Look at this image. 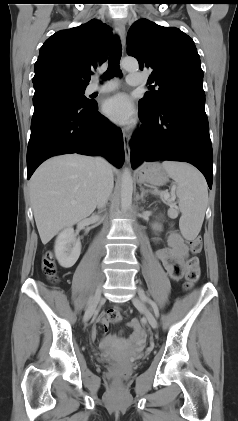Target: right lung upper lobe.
<instances>
[{
    "label": "right lung upper lobe",
    "mask_w": 238,
    "mask_h": 421,
    "mask_svg": "<svg viewBox=\"0 0 238 421\" xmlns=\"http://www.w3.org/2000/svg\"><path fill=\"white\" fill-rule=\"evenodd\" d=\"M111 39L110 27L96 19L56 32L40 48L34 87L53 83L86 87L90 70L107 60Z\"/></svg>",
    "instance_id": "1"
}]
</instances>
